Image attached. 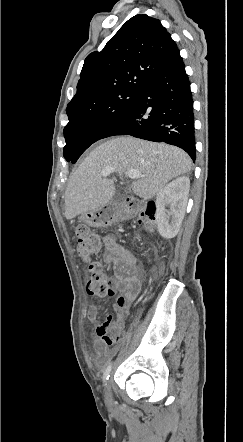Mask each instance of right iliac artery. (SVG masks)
Masks as SVG:
<instances>
[{"mask_svg":"<svg viewBox=\"0 0 243 442\" xmlns=\"http://www.w3.org/2000/svg\"><path fill=\"white\" fill-rule=\"evenodd\" d=\"M111 368H112V366L109 365V366L105 369L104 374H103V381H104V382H107V380L109 379V376H110L109 374H110Z\"/></svg>","mask_w":243,"mask_h":442,"instance_id":"right-iliac-artery-1","label":"right iliac artery"}]
</instances>
